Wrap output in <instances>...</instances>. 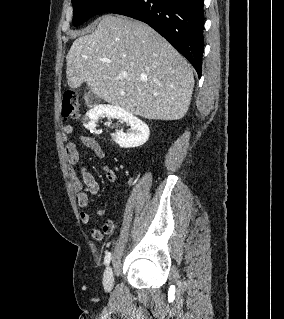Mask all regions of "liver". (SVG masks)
Segmentation results:
<instances>
[{
    "mask_svg": "<svg viewBox=\"0 0 284 319\" xmlns=\"http://www.w3.org/2000/svg\"><path fill=\"white\" fill-rule=\"evenodd\" d=\"M66 62L70 88L85 82L93 94L132 114L178 120L188 111L192 67L145 23L105 15L94 32L73 42Z\"/></svg>",
    "mask_w": 284,
    "mask_h": 319,
    "instance_id": "obj_1",
    "label": "liver"
}]
</instances>
